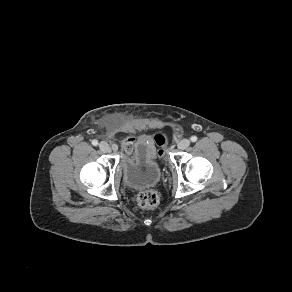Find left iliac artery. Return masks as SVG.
Segmentation results:
<instances>
[{
    "label": "left iliac artery",
    "instance_id": "obj_1",
    "mask_svg": "<svg viewBox=\"0 0 292 292\" xmlns=\"http://www.w3.org/2000/svg\"><path fill=\"white\" fill-rule=\"evenodd\" d=\"M190 140H191L192 142H196V141H197V137H196V136H192V137L190 138Z\"/></svg>",
    "mask_w": 292,
    "mask_h": 292
}]
</instances>
